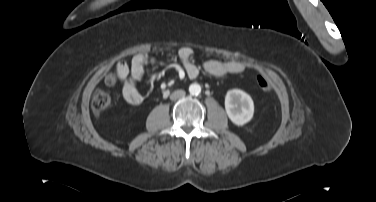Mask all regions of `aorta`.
Here are the masks:
<instances>
[{
  "mask_svg": "<svg viewBox=\"0 0 376 202\" xmlns=\"http://www.w3.org/2000/svg\"><path fill=\"white\" fill-rule=\"evenodd\" d=\"M189 92L191 95L197 96L201 92V86L198 83H192L189 86Z\"/></svg>",
  "mask_w": 376,
  "mask_h": 202,
  "instance_id": "762f6f07",
  "label": "aorta"
}]
</instances>
